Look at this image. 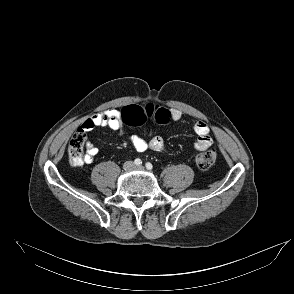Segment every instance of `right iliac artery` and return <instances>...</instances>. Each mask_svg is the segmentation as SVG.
<instances>
[{
    "label": "right iliac artery",
    "mask_w": 294,
    "mask_h": 294,
    "mask_svg": "<svg viewBox=\"0 0 294 294\" xmlns=\"http://www.w3.org/2000/svg\"><path fill=\"white\" fill-rule=\"evenodd\" d=\"M134 163H135L137 166H139V165L142 164V161H141V159L137 158V159H135Z\"/></svg>",
    "instance_id": "82829eb1"
}]
</instances>
